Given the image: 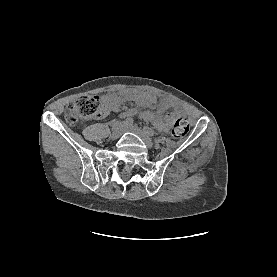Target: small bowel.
Here are the masks:
<instances>
[{"instance_id": "obj_1", "label": "small bowel", "mask_w": 277, "mask_h": 277, "mask_svg": "<svg viewBox=\"0 0 277 277\" xmlns=\"http://www.w3.org/2000/svg\"><path fill=\"white\" fill-rule=\"evenodd\" d=\"M102 112L100 117H105L113 111H117L123 102L131 101L138 105L154 107V110L139 112L137 108L126 109L121 116L128 118L139 115L145 121L152 122L154 126L163 132L170 130L174 120V113H166L173 107V103L167 98L159 96L151 91L127 90L121 94L108 93L101 97Z\"/></svg>"}]
</instances>
